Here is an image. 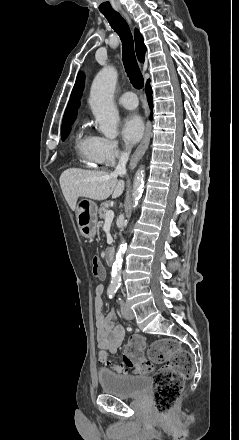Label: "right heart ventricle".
<instances>
[{"label": "right heart ventricle", "instance_id": "right-heart-ventricle-1", "mask_svg": "<svg viewBox=\"0 0 239 440\" xmlns=\"http://www.w3.org/2000/svg\"><path fill=\"white\" fill-rule=\"evenodd\" d=\"M73 149L79 163L90 169L98 168L100 160L93 150V136L78 130L73 137Z\"/></svg>", "mask_w": 239, "mask_h": 440}]
</instances>
